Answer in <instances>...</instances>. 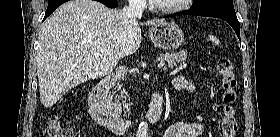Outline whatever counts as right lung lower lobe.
I'll return each instance as SVG.
<instances>
[{
	"label": "right lung lower lobe",
	"mask_w": 280,
	"mask_h": 137,
	"mask_svg": "<svg viewBox=\"0 0 280 137\" xmlns=\"http://www.w3.org/2000/svg\"><path fill=\"white\" fill-rule=\"evenodd\" d=\"M66 1L68 0H49L48 7L45 12V16L43 20H45L57 7H59L62 3ZM96 1H99L110 8H115L118 5L117 0H96Z\"/></svg>",
	"instance_id": "98d812e1"
}]
</instances>
